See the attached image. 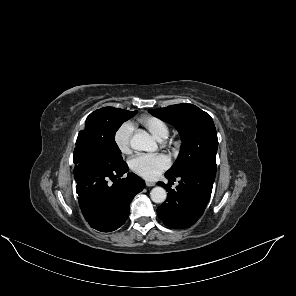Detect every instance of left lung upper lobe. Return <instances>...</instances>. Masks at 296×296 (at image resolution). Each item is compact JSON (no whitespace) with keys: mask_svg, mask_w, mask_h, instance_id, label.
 <instances>
[{"mask_svg":"<svg viewBox=\"0 0 296 296\" xmlns=\"http://www.w3.org/2000/svg\"><path fill=\"white\" fill-rule=\"evenodd\" d=\"M148 111L175 126L182 139L179 157L165 175L175 177L202 166L216 168L218 139L210 115L192 104H178Z\"/></svg>","mask_w":296,"mask_h":296,"instance_id":"obj_1","label":"left lung upper lobe"}]
</instances>
